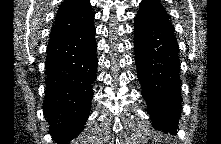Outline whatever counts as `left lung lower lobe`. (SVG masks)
<instances>
[{"label":"left lung lower lobe","instance_id":"0a47b994","mask_svg":"<svg viewBox=\"0 0 221 144\" xmlns=\"http://www.w3.org/2000/svg\"><path fill=\"white\" fill-rule=\"evenodd\" d=\"M135 63L153 126L176 133L180 118L179 47L170 22L136 16Z\"/></svg>","mask_w":221,"mask_h":144}]
</instances>
